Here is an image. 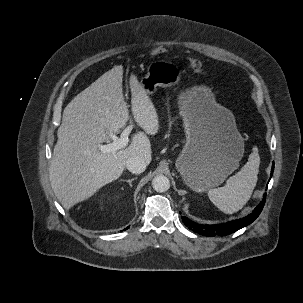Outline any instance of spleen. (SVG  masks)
Masks as SVG:
<instances>
[{"label":"spleen","instance_id":"obj_1","mask_svg":"<svg viewBox=\"0 0 303 303\" xmlns=\"http://www.w3.org/2000/svg\"><path fill=\"white\" fill-rule=\"evenodd\" d=\"M252 150L247 163L227 180L225 186L208 191L210 201L226 214H233L242 209L256 186L260 156L257 146Z\"/></svg>","mask_w":303,"mask_h":303}]
</instances>
